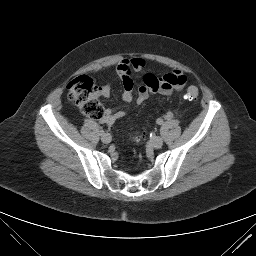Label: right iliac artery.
Masks as SVG:
<instances>
[{"instance_id": "right-iliac-artery-1", "label": "right iliac artery", "mask_w": 256, "mask_h": 256, "mask_svg": "<svg viewBox=\"0 0 256 256\" xmlns=\"http://www.w3.org/2000/svg\"><path fill=\"white\" fill-rule=\"evenodd\" d=\"M99 134H100L101 136H103V135L105 134V132H104L103 130H101V131L99 132Z\"/></svg>"}]
</instances>
